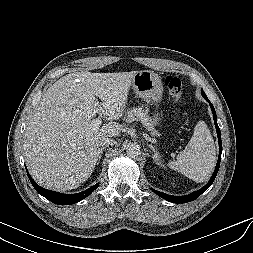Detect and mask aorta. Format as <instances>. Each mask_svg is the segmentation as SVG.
<instances>
[{"label": "aorta", "instance_id": "obj_1", "mask_svg": "<svg viewBox=\"0 0 253 253\" xmlns=\"http://www.w3.org/2000/svg\"><path fill=\"white\" fill-rule=\"evenodd\" d=\"M126 153L129 157L131 158H137L140 156L141 154V150H140V147L139 145H136V144H131L127 147L126 149Z\"/></svg>", "mask_w": 253, "mask_h": 253}]
</instances>
